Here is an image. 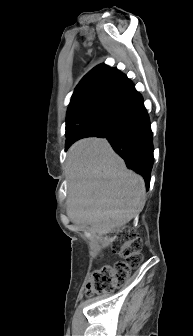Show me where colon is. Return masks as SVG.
<instances>
[{
  "mask_svg": "<svg viewBox=\"0 0 193 336\" xmlns=\"http://www.w3.org/2000/svg\"><path fill=\"white\" fill-rule=\"evenodd\" d=\"M115 252L119 260L95 269L88 280L86 296L101 294L123 284L132 268L142 259L141 242L133 232L122 230L115 235Z\"/></svg>",
  "mask_w": 193,
  "mask_h": 336,
  "instance_id": "5ec220e1",
  "label": "colon"
}]
</instances>
